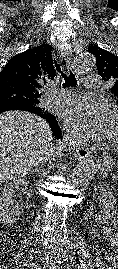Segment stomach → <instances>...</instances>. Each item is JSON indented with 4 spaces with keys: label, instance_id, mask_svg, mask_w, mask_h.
Returning <instances> with one entry per match:
<instances>
[{
    "label": "stomach",
    "instance_id": "1",
    "mask_svg": "<svg viewBox=\"0 0 118 269\" xmlns=\"http://www.w3.org/2000/svg\"><path fill=\"white\" fill-rule=\"evenodd\" d=\"M114 161L111 157L109 156H104L99 164H98V168L102 171V172H110L113 170L114 167Z\"/></svg>",
    "mask_w": 118,
    "mask_h": 269
}]
</instances>
